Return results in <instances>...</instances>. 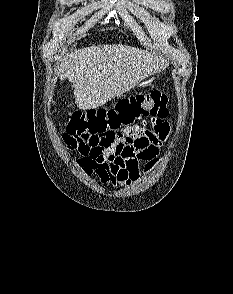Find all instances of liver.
I'll return each instance as SVG.
<instances>
[{"label":"liver","mask_w":233,"mask_h":294,"mask_svg":"<svg viewBox=\"0 0 233 294\" xmlns=\"http://www.w3.org/2000/svg\"><path fill=\"white\" fill-rule=\"evenodd\" d=\"M167 62L151 52L128 45H97L72 51L62 58L59 78L74 87L77 107L98 108L162 71Z\"/></svg>","instance_id":"6515ba94"}]
</instances>
